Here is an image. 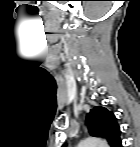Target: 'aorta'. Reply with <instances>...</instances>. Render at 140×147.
I'll list each match as a JSON object with an SVG mask.
<instances>
[{
  "mask_svg": "<svg viewBox=\"0 0 140 147\" xmlns=\"http://www.w3.org/2000/svg\"><path fill=\"white\" fill-rule=\"evenodd\" d=\"M107 143L102 139L89 137L79 143V147H106Z\"/></svg>",
  "mask_w": 140,
  "mask_h": 147,
  "instance_id": "aorta-1",
  "label": "aorta"
}]
</instances>
